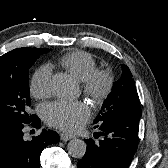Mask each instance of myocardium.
<instances>
[{
	"instance_id": "myocardium-1",
	"label": "myocardium",
	"mask_w": 168,
	"mask_h": 168,
	"mask_svg": "<svg viewBox=\"0 0 168 168\" xmlns=\"http://www.w3.org/2000/svg\"><path fill=\"white\" fill-rule=\"evenodd\" d=\"M114 86V79L108 70L96 69L89 77L82 81L84 93L95 103L102 104L110 96Z\"/></svg>"
}]
</instances>
